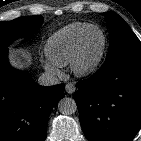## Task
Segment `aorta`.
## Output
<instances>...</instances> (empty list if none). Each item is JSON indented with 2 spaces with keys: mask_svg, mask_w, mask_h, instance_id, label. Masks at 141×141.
Listing matches in <instances>:
<instances>
[{
  "mask_svg": "<svg viewBox=\"0 0 141 141\" xmlns=\"http://www.w3.org/2000/svg\"><path fill=\"white\" fill-rule=\"evenodd\" d=\"M58 110L64 115H71L77 111V105L73 98L64 97L58 102Z\"/></svg>",
  "mask_w": 141,
  "mask_h": 141,
  "instance_id": "762f6f07",
  "label": "aorta"
}]
</instances>
